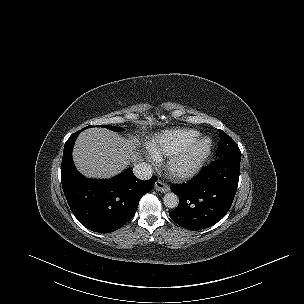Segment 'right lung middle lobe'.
<instances>
[{
  "label": "right lung middle lobe",
  "instance_id": "obj_1",
  "mask_svg": "<svg viewBox=\"0 0 304 304\" xmlns=\"http://www.w3.org/2000/svg\"><path fill=\"white\" fill-rule=\"evenodd\" d=\"M99 126L100 127H105V128L111 129V130H114L116 132H122L123 131V129L118 128L116 126H110V125H99ZM89 127H92V126L85 127L84 129L89 128Z\"/></svg>",
  "mask_w": 304,
  "mask_h": 304
}]
</instances>
